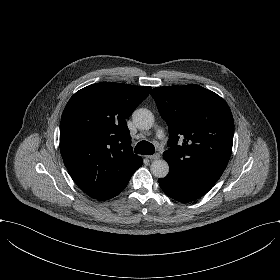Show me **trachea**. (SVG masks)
I'll return each instance as SVG.
<instances>
[{"instance_id": "trachea-1", "label": "trachea", "mask_w": 280, "mask_h": 280, "mask_svg": "<svg viewBox=\"0 0 280 280\" xmlns=\"http://www.w3.org/2000/svg\"><path fill=\"white\" fill-rule=\"evenodd\" d=\"M134 152L136 154L152 155L155 152V147L152 143L148 141H140L136 145Z\"/></svg>"}]
</instances>
